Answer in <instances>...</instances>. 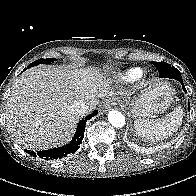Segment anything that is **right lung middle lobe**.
<instances>
[{"label":"right lung middle lobe","instance_id":"obj_1","mask_svg":"<svg viewBox=\"0 0 196 196\" xmlns=\"http://www.w3.org/2000/svg\"><path fill=\"white\" fill-rule=\"evenodd\" d=\"M54 60H55L54 58L38 59L35 62L28 65L27 68L33 67V66L38 65V64H50Z\"/></svg>","mask_w":196,"mask_h":196}]
</instances>
